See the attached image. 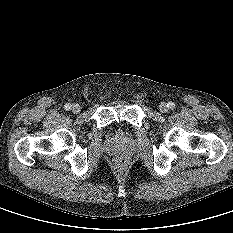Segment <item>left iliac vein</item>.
Segmentation results:
<instances>
[{
    "label": "left iliac vein",
    "instance_id": "4c4485c4",
    "mask_svg": "<svg viewBox=\"0 0 233 233\" xmlns=\"http://www.w3.org/2000/svg\"><path fill=\"white\" fill-rule=\"evenodd\" d=\"M159 110H160L162 113L167 112V111H168L167 104H166L165 102L160 103V105H159Z\"/></svg>",
    "mask_w": 233,
    "mask_h": 233
}]
</instances>
